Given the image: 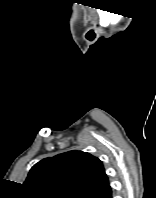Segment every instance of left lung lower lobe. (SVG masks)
Returning <instances> with one entry per match:
<instances>
[{
	"instance_id": "1",
	"label": "left lung lower lobe",
	"mask_w": 156,
	"mask_h": 198,
	"mask_svg": "<svg viewBox=\"0 0 156 198\" xmlns=\"http://www.w3.org/2000/svg\"><path fill=\"white\" fill-rule=\"evenodd\" d=\"M94 198H112V189L110 185L104 189L101 193L97 194Z\"/></svg>"
}]
</instances>
